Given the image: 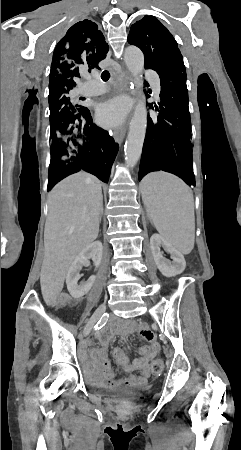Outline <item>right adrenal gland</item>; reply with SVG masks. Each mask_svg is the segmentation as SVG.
Listing matches in <instances>:
<instances>
[{"instance_id": "right-adrenal-gland-1", "label": "right adrenal gland", "mask_w": 241, "mask_h": 450, "mask_svg": "<svg viewBox=\"0 0 241 450\" xmlns=\"http://www.w3.org/2000/svg\"><path fill=\"white\" fill-rule=\"evenodd\" d=\"M103 212H101V216H102ZM101 216H100V222H101Z\"/></svg>"}]
</instances>
